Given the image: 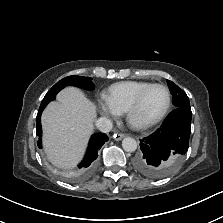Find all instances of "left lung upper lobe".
Returning <instances> with one entry per match:
<instances>
[{"label": "left lung upper lobe", "mask_w": 223, "mask_h": 223, "mask_svg": "<svg viewBox=\"0 0 223 223\" xmlns=\"http://www.w3.org/2000/svg\"><path fill=\"white\" fill-rule=\"evenodd\" d=\"M167 84L170 89L173 98L172 103L175 108L191 110L190 102L186 93L170 80H167Z\"/></svg>", "instance_id": "5c2ea615"}]
</instances>
